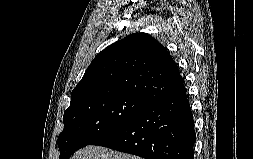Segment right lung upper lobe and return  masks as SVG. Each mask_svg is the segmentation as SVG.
Masks as SVG:
<instances>
[{"mask_svg":"<svg viewBox=\"0 0 253 159\" xmlns=\"http://www.w3.org/2000/svg\"><path fill=\"white\" fill-rule=\"evenodd\" d=\"M184 87L170 53L156 39L136 33L100 52L71 94V102L93 96L132 94L154 102Z\"/></svg>","mask_w":253,"mask_h":159,"instance_id":"obj_1","label":"right lung upper lobe"}]
</instances>
